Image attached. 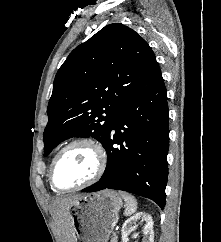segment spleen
I'll use <instances>...</instances> for the list:
<instances>
[{
  "label": "spleen",
  "instance_id": "1",
  "mask_svg": "<svg viewBox=\"0 0 221 242\" xmlns=\"http://www.w3.org/2000/svg\"><path fill=\"white\" fill-rule=\"evenodd\" d=\"M121 197L125 201V211L126 216H130L137 211V200L135 197L129 193L120 192Z\"/></svg>",
  "mask_w": 221,
  "mask_h": 242
}]
</instances>
